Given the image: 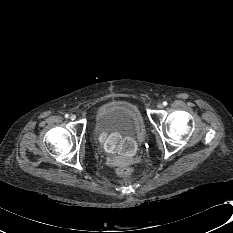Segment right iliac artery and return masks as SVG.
<instances>
[{"label":"right iliac artery","instance_id":"obj_1","mask_svg":"<svg viewBox=\"0 0 233 233\" xmlns=\"http://www.w3.org/2000/svg\"><path fill=\"white\" fill-rule=\"evenodd\" d=\"M69 117V115L68 114H65V118H68Z\"/></svg>","mask_w":233,"mask_h":233}]
</instances>
